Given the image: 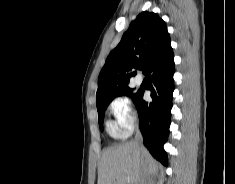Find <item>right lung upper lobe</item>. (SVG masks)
<instances>
[{"mask_svg":"<svg viewBox=\"0 0 235 184\" xmlns=\"http://www.w3.org/2000/svg\"><path fill=\"white\" fill-rule=\"evenodd\" d=\"M173 53L165 22L153 12H142L131 22L120 43L108 55L98 77L97 106L112 101V91L128 86L132 69L144 64L143 73Z\"/></svg>","mask_w":235,"mask_h":184,"instance_id":"cb5924a9","label":"right lung upper lobe"}]
</instances>
